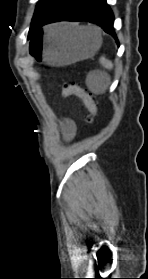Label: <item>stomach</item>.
Instances as JSON below:
<instances>
[{
    "label": "stomach",
    "mask_w": 148,
    "mask_h": 279,
    "mask_svg": "<svg viewBox=\"0 0 148 279\" xmlns=\"http://www.w3.org/2000/svg\"><path fill=\"white\" fill-rule=\"evenodd\" d=\"M52 30L57 31L52 33ZM33 39L39 40L28 45L29 49H36L28 50L32 63L56 66V69H65V64L93 56L102 43L99 31L85 33L80 27L66 24L51 27L47 34H33Z\"/></svg>",
    "instance_id": "obj_1"
}]
</instances>
